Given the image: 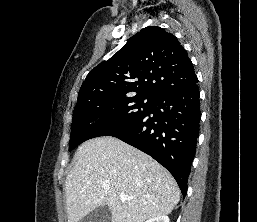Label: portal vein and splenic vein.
Returning a JSON list of instances; mask_svg holds the SVG:
<instances>
[{
	"instance_id": "18ae733b",
	"label": "portal vein and splenic vein",
	"mask_w": 257,
	"mask_h": 222,
	"mask_svg": "<svg viewBox=\"0 0 257 222\" xmlns=\"http://www.w3.org/2000/svg\"><path fill=\"white\" fill-rule=\"evenodd\" d=\"M119 198H120V200H122V201L134 199V197L128 196V195H126L125 193H119Z\"/></svg>"
}]
</instances>
